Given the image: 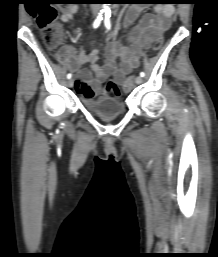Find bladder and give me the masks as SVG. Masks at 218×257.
Wrapping results in <instances>:
<instances>
[{"label": "bladder", "mask_w": 218, "mask_h": 257, "mask_svg": "<svg viewBox=\"0 0 218 257\" xmlns=\"http://www.w3.org/2000/svg\"><path fill=\"white\" fill-rule=\"evenodd\" d=\"M83 102L88 110L105 118L118 116L126 111L125 103L114 96L85 98Z\"/></svg>", "instance_id": "1"}]
</instances>
